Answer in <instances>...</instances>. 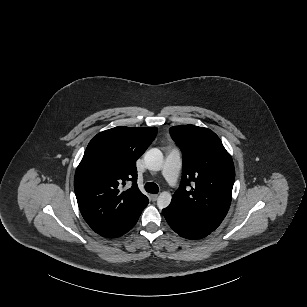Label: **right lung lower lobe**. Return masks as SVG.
<instances>
[{
	"label": "right lung lower lobe",
	"instance_id": "right-lung-lower-lobe-1",
	"mask_svg": "<svg viewBox=\"0 0 307 307\" xmlns=\"http://www.w3.org/2000/svg\"><path fill=\"white\" fill-rule=\"evenodd\" d=\"M147 204L148 202L141 208L134 211L127 219H125L122 223L118 224L114 228L98 234L107 238H116L125 234L136 224L142 210L147 206Z\"/></svg>",
	"mask_w": 307,
	"mask_h": 307
}]
</instances>
